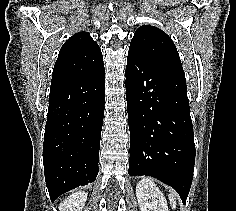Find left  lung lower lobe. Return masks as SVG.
<instances>
[{"label": "left lung lower lobe", "instance_id": "1", "mask_svg": "<svg viewBox=\"0 0 236 211\" xmlns=\"http://www.w3.org/2000/svg\"><path fill=\"white\" fill-rule=\"evenodd\" d=\"M125 84L129 175L157 178L185 203L195 164L185 75L128 54Z\"/></svg>", "mask_w": 236, "mask_h": 211}]
</instances>
